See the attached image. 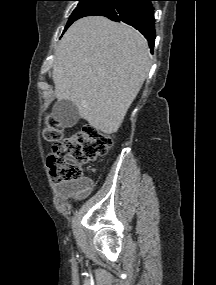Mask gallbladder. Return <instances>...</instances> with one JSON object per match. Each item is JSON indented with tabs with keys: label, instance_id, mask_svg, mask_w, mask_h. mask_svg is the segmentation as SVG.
<instances>
[{
	"label": "gallbladder",
	"instance_id": "bac80fb5",
	"mask_svg": "<svg viewBox=\"0 0 216 285\" xmlns=\"http://www.w3.org/2000/svg\"><path fill=\"white\" fill-rule=\"evenodd\" d=\"M52 116L65 127L74 126L80 117L76 105L69 100L57 101L53 107Z\"/></svg>",
	"mask_w": 216,
	"mask_h": 285
}]
</instances>
